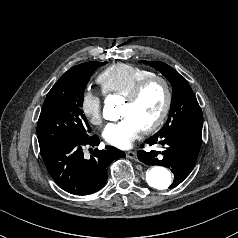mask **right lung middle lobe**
<instances>
[{
  "label": "right lung middle lobe",
  "mask_w": 238,
  "mask_h": 238,
  "mask_svg": "<svg viewBox=\"0 0 238 238\" xmlns=\"http://www.w3.org/2000/svg\"><path fill=\"white\" fill-rule=\"evenodd\" d=\"M104 64L91 61L74 66L51 88L37 124L40 151L88 137L91 128L81 109L84 90L96 68Z\"/></svg>",
  "instance_id": "1"
}]
</instances>
